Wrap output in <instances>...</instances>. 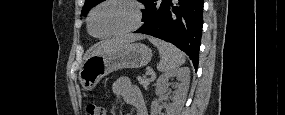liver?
<instances>
[{"instance_id":"1","label":"liver","mask_w":285,"mask_h":115,"mask_svg":"<svg viewBox=\"0 0 285 115\" xmlns=\"http://www.w3.org/2000/svg\"><path fill=\"white\" fill-rule=\"evenodd\" d=\"M141 38H143V36L141 35H127V36L114 38L111 40L102 41L92 48L89 56L112 53L124 47L125 45L129 44L130 42Z\"/></svg>"}]
</instances>
